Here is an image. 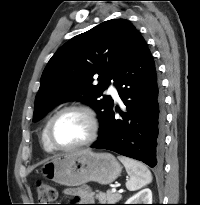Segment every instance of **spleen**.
Wrapping results in <instances>:
<instances>
[{
  "label": "spleen",
  "instance_id": "3e777b00",
  "mask_svg": "<svg viewBox=\"0 0 200 205\" xmlns=\"http://www.w3.org/2000/svg\"><path fill=\"white\" fill-rule=\"evenodd\" d=\"M118 159L125 166L130 176L129 180L126 182V188L128 190H138L152 181L150 170L142 162L124 156H118Z\"/></svg>",
  "mask_w": 200,
  "mask_h": 205
}]
</instances>
